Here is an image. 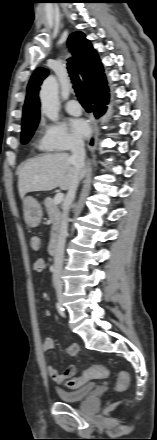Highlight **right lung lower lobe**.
Listing matches in <instances>:
<instances>
[{"label":"right lung lower lobe","mask_w":157,"mask_h":440,"mask_svg":"<svg viewBox=\"0 0 157 440\" xmlns=\"http://www.w3.org/2000/svg\"><path fill=\"white\" fill-rule=\"evenodd\" d=\"M109 94L104 97L92 99L93 110L96 117L101 116L106 111V105L108 104Z\"/></svg>","instance_id":"right-lung-lower-lobe-1"}]
</instances>
